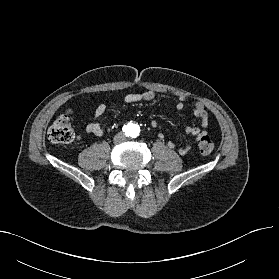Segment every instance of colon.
Segmentation results:
<instances>
[{"label": "colon", "mask_w": 279, "mask_h": 279, "mask_svg": "<svg viewBox=\"0 0 279 279\" xmlns=\"http://www.w3.org/2000/svg\"><path fill=\"white\" fill-rule=\"evenodd\" d=\"M48 138L53 143L69 144L77 140L69 113L61 114L53 122L48 130ZM213 142L208 135L199 139L198 150L203 155H208L213 150Z\"/></svg>", "instance_id": "colon-1"}]
</instances>
